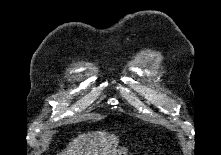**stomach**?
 <instances>
[{
  "mask_svg": "<svg viewBox=\"0 0 221 155\" xmlns=\"http://www.w3.org/2000/svg\"><path fill=\"white\" fill-rule=\"evenodd\" d=\"M113 155H128V151L124 147H119Z\"/></svg>",
  "mask_w": 221,
  "mask_h": 155,
  "instance_id": "1",
  "label": "stomach"
}]
</instances>
